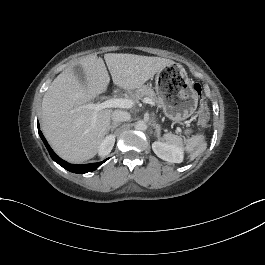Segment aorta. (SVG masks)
Masks as SVG:
<instances>
[{"mask_svg": "<svg viewBox=\"0 0 265 265\" xmlns=\"http://www.w3.org/2000/svg\"><path fill=\"white\" fill-rule=\"evenodd\" d=\"M135 129L145 131L147 129V124L144 121H138L135 125Z\"/></svg>", "mask_w": 265, "mask_h": 265, "instance_id": "obj_1", "label": "aorta"}]
</instances>
